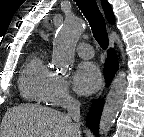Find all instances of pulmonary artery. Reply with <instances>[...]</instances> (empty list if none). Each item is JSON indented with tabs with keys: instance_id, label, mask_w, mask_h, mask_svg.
I'll use <instances>...</instances> for the list:
<instances>
[{
	"instance_id": "obj_1",
	"label": "pulmonary artery",
	"mask_w": 144,
	"mask_h": 137,
	"mask_svg": "<svg viewBox=\"0 0 144 137\" xmlns=\"http://www.w3.org/2000/svg\"><path fill=\"white\" fill-rule=\"evenodd\" d=\"M78 55L83 59H91L94 55L93 48L88 43H80L76 47Z\"/></svg>"
}]
</instances>
